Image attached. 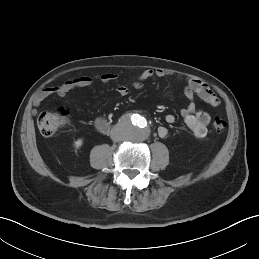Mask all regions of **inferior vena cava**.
Returning a JSON list of instances; mask_svg holds the SVG:
<instances>
[{"instance_id":"602c4592","label":"inferior vena cava","mask_w":259,"mask_h":259,"mask_svg":"<svg viewBox=\"0 0 259 259\" xmlns=\"http://www.w3.org/2000/svg\"><path fill=\"white\" fill-rule=\"evenodd\" d=\"M111 139L113 140V141H121L122 139H123V137H122V135H121V133L120 132H118V131H112V133H111Z\"/></svg>"}]
</instances>
